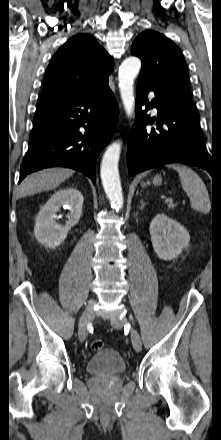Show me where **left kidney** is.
<instances>
[{"label":"left kidney","instance_id":"obj_1","mask_svg":"<svg viewBox=\"0 0 221 440\" xmlns=\"http://www.w3.org/2000/svg\"><path fill=\"white\" fill-rule=\"evenodd\" d=\"M153 249L163 260H172L181 254L190 242L188 231L167 215L157 214L149 227Z\"/></svg>","mask_w":221,"mask_h":440}]
</instances>
